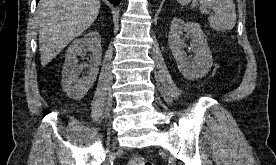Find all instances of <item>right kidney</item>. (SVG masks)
Segmentation results:
<instances>
[{
	"label": "right kidney",
	"instance_id": "1",
	"mask_svg": "<svg viewBox=\"0 0 276 165\" xmlns=\"http://www.w3.org/2000/svg\"><path fill=\"white\" fill-rule=\"evenodd\" d=\"M85 49L92 53L89 61L90 71L87 76L79 78L83 66L77 64V56ZM101 37L98 32L92 31L82 38L76 39L68 48L62 70V88L74 100H81L92 87L98 74L101 61Z\"/></svg>",
	"mask_w": 276,
	"mask_h": 165
}]
</instances>
